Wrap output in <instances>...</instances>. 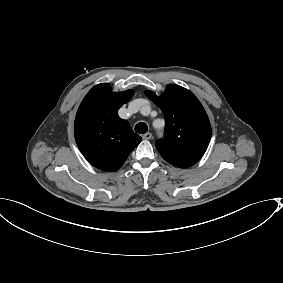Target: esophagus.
Returning a JSON list of instances; mask_svg holds the SVG:
<instances>
[{"label":"esophagus","mask_w":283,"mask_h":283,"mask_svg":"<svg viewBox=\"0 0 283 283\" xmlns=\"http://www.w3.org/2000/svg\"><path fill=\"white\" fill-rule=\"evenodd\" d=\"M151 137H152V134H151V133H145V134L142 136V139H144V140H149Z\"/></svg>","instance_id":"34e87169"}]
</instances>
